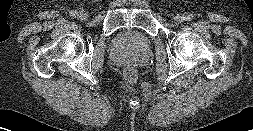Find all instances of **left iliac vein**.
I'll list each match as a JSON object with an SVG mask.
<instances>
[{
    "instance_id": "4c4485c4",
    "label": "left iliac vein",
    "mask_w": 253,
    "mask_h": 131,
    "mask_svg": "<svg viewBox=\"0 0 253 131\" xmlns=\"http://www.w3.org/2000/svg\"><path fill=\"white\" fill-rule=\"evenodd\" d=\"M185 20V16L183 14H178L174 17V21L176 23H181Z\"/></svg>"
}]
</instances>
